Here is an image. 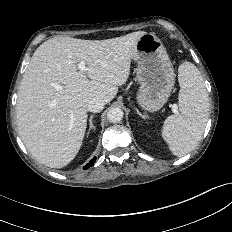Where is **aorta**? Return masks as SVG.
Instances as JSON below:
<instances>
[{
	"label": "aorta",
	"mask_w": 232,
	"mask_h": 232,
	"mask_svg": "<svg viewBox=\"0 0 232 232\" xmlns=\"http://www.w3.org/2000/svg\"><path fill=\"white\" fill-rule=\"evenodd\" d=\"M123 110L119 107H112L109 109L107 113V117L110 122L112 123H118L123 119Z\"/></svg>",
	"instance_id": "1"
}]
</instances>
